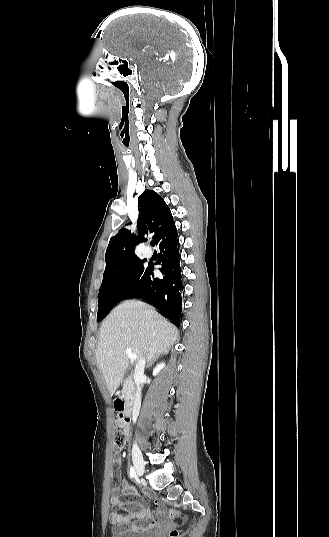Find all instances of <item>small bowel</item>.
<instances>
[{
	"instance_id": "c3829d8e",
	"label": "small bowel",
	"mask_w": 329,
	"mask_h": 537,
	"mask_svg": "<svg viewBox=\"0 0 329 537\" xmlns=\"http://www.w3.org/2000/svg\"><path fill=\"white\" fill-rule=\"evenodd\" d=\"M118 425L123 428L127 435L130 434L128 424L118 422ZM114 461L119 464L121 459L116 457ZM154 503L156 511H151L135 488L126 481H120L112 490L110 504L116 508H123L126 512L124 514L118 512L109 514V521L114 525L113 531L118 533L139 532L153 528L158 521L163 520L165 515L162 504L157 499H154Z\"/></svg>"
}]
</instances>
